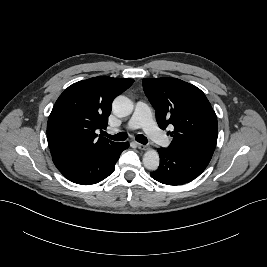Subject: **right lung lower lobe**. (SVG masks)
I'll return each mask as SVG.
<instances>
[{
  "instance_id": "98d812e1",
  "label": "right lung lower lobe",
  "mask_w": 267,
  "mask_h": 267,
  "mask_svg": "<svg viewBox=\"0 0 267 267\" xmlns=\"http://www.w3.org/2000/svg\"><path fill=\"white\" fill-rule=\"evenodd\" d=\"M128 147L126 142L118 143L108 150L89 155L53 158V162L68 180L81 185H91L102 181L114 171L120 154Z\"/></svg>"
}]
</instances>
